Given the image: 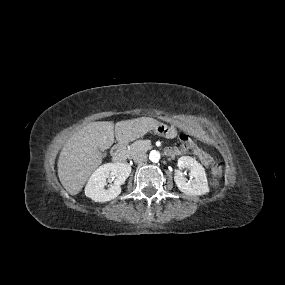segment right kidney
<instances>
[{
	"label": "right kidney",
	"mask_w": 285,
	"mask_h": 285,
	"mask_svg": "<svg viewBox=\"0 0 285 285\" xmlns=\"http://www.w3.org/2000/svg\"><path fill=\"white\" fill-rule=\"evenodd\" d=\"M131 167L127 163H106L96 169L90 176L85 195L95 202H107L121 193V185L129 177ZM116 177L114 183L107 189L106 179Z\"/></svg>",
	"instance_id": "1"
}]
</instances>
